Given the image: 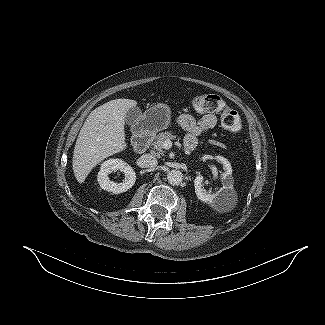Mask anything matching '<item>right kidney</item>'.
Segmentation results:
<instances>
[{
  "instance_id": "ca27d5eb",
  "label": "right kidney",
  "mask_w": 325,
  "mask_h": 325,
  "mask_svg": "<svg viewBox=\"0 0 325 325\" xmlns=\"http://www.w3.org/2000/svg\"><path fill=\"white\" fill-rule=\"evenodd\" d=\"M117 170L125 173V178L121 183L110 181L108 177L110 173ZM97 177L100 187L114 194L126 192L136 181V174L133 168L121 159H109L103 162Z\"/></svg>"
}]
</instances>
